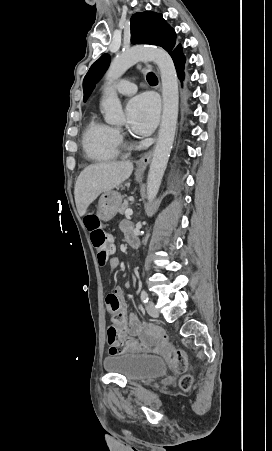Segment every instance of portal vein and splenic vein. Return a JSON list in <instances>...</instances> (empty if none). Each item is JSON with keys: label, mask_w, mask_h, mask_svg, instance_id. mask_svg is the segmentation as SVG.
<instances>
[{"label": "portal vein and splenic vein", "mask_w": 272, "mask_h": 451, "mask_svg": "<svg viewBox=\"0 0 272 451\" xmlns=\"http://www.w3.org/2000/svg\"><path fill=\"white\" fill-rule=\"evenodd\" d=\"M132 214H133L132 210H125L126 218H130V216H132Z\"/></svg>", "instance_id": "portal-vein-and-splenic-vein-1"}]
</instances>
